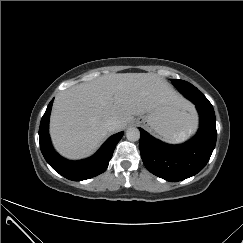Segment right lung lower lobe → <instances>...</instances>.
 <instances>
[{
	"instance_id": "98d812e1",
	"label": "right lung lower lobe",
	"mask_w": 243,
	"mask_h": 243,
	"mask_svg": "<svg viewBox=\"0 0 243 243\" xmlns=\"http://www.w3.org/2000/svg\"><path fill=\"white\" fill-rule=\"evenodd\" d=\"M53 100L49 103L40 123L39 142L47 163L60 175L73 181L86 180L103 173L108 167L115 146L123 136L119 132L111 136L92 157L80 161H69L58 155L52 147L48 127Z\"/></svg>"
}]
</instances>
